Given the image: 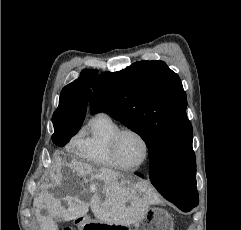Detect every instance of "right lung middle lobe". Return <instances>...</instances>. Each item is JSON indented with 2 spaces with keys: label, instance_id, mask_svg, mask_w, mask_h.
Masks as SVG:
<instances>
[{
  "label": "right lung middle lobe",
  "instance_id": "right-lung-middle-lobe-1",
  "mask_svg": "<svg viewBox=\"0 0 241 230\" xmlns=\"http://www.w3.org/2000/svg\"><path fill=\"white\" fill-rule=\"evenodd\" d=\"M53 124L55 132L52 135V141L60 147H63L68 143L70 138L74 136L81 127V124L71 122H56Z\"/></svg>",
  "mask_w": 241,
  "mask_h": 230
}]
</instances>
